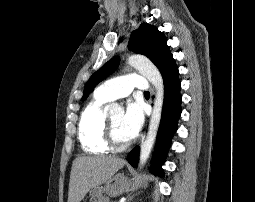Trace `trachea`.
I'll list each match as a JSON object with an SVG mask.
<instances>
[{"mask_svg":"<svg viewBox=\"0 0 255 202\" xmlns=\"http://www.w3.org/2000/svg\"><path fill=\"white\" fill-rule=\"evenodd\" d=\"M144 95H150V93L148 91H145Z\"/></svg>","mask_w":255,"mask_h":202,"instance_id":"1","label":"trachea"}]
</instances>
